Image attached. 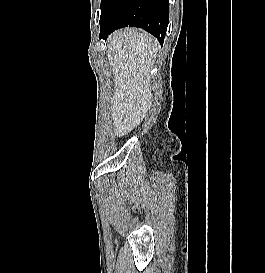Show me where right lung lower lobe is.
Listing matches in <instances>:
<instances>
[{
    "label": "right lung lower lobe",
    "instance_id": "1",
    "mask_svg": "<svg viewBox=\"0 0 265 273\" xmlns=\"http://www.w3.org/2000/svg\"><path fill=\"white\" fill-rule=\"evenodd\" d=\"M168 5L169 0H114L101 22L100 38L130 26L148 31L162 44L168 25Z\"/></svg>",
    "mask_w": 265,
    "mask_h": 273
}]
</instances>
